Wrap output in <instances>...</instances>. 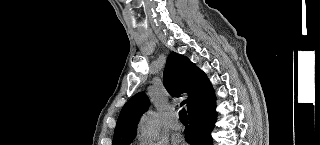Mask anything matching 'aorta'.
I'll list each match as a JSON object with an SVG mask.
<instances>
[{
    "label": "aorta",
    "mask_w": 320,
    "mask_h": 145,
    "mask_svg": "<svg viewBox=\"0 0 320 145\" xmlns=\"http://www.w3.org/2000/svg\"><path fill=\"white\" fill-rule=\"evenodd\" d=\"M142 133L150 137H156L159 133V122L157 114L154 111L146 113L140 122Z\"/></svg>",
    "instance_id": "aorta-1"
}]
</instances>
